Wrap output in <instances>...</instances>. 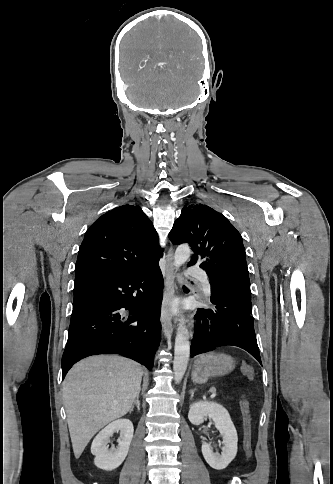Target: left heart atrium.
Here are the masks:
<instances>
[{
  "mask_svg": "<svg viewBox=\"0 0 333 484\" xmlns=\"http://www.w3.org/2000/svg\"><path fill=\"white\" fill-rule=\"evenodd\" d=\"M171 309H172V310H175V309H176V303H172V305H171Z\"/></svg>",
  "mask_w": 333,
  "mask_h": 484,
  "instance_id": "1",
  "label": "left heart atrium"
}]
</instances>
